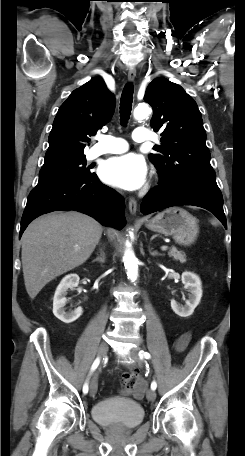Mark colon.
<instances>
[{"instance_id": "1", "label": "colon", "mask_w": 245, "mask_h": 456, "mask_svg": "<svg viewBox=\"0 0 245 456\" xmlns=\"http://www.w3.org/2000/svg\"><path fill=\"white\" fill-rule=\"evenodd\" d=\"M140 380V374L138 371H132L125 373L122 377V383L124 388L133 389L137 386Z\"/></svg>"}]
</instances>
